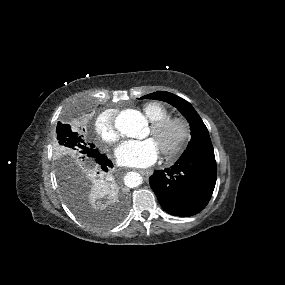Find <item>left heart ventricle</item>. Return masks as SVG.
I'll use <instances>...</instances> for the list:
<instances>
[{"instance_id":"1","label":"left heart ventricle","mask_w":285,"mask_h":285,"mask_svg":"<svg viewBox=\"0 0 285 285\" xmlns=\"http://www.w3.org/2000/svg\"><path fill=\"white\" fill-rule=\"evenodd\" d=\"M150 135H152L151 129H150ZM175 136H176V130H172L165 139H159L157 137H154V139L158 143L161 149L165 143H171L174 140Z\"/></svg>"}]
</instances>
